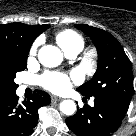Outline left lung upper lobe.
Segmentation results:
<instances>
[{
    "mask_svg": "<svg viewBox=\"0 0 136 136\" xmlns=\"http://www.w3.org/2000/svg\"><path fill=\"white\" fill-rule=\"evenodd\" d=\"M75 27L91 37L98 51V68L93 79L77 90L88 98L131 99L134 91L131 62L117 39L99 28L81 24Z\"/></svg>",
    "mask_w": 136,
    "mask_h": 136,
    "instance_id": "left-lung-upper-lobe-1",
    "label": "left lung upper lobe"
}]
</instances>
